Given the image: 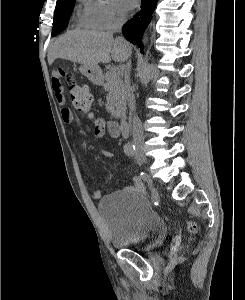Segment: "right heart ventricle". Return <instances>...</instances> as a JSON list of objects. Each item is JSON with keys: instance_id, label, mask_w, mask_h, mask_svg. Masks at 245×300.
I'll return each mask as SVG.
<instances>
[{"instance_id": "1", "label": "right heart ventricle", "mask_w": 245, "mask_h": 300, "mask_svg": "<svg viewBox=\"0 0 245 300\" xmlns=\"http://www.w3.org/2000/svg\"><path fill=\"white\" fill-rule=\"evenodd\" d=\"M76 20L79 24L84 25V26H92L90 21L88 20L85 12L84 13H78Z\"/></svg>"}]
</instances>
